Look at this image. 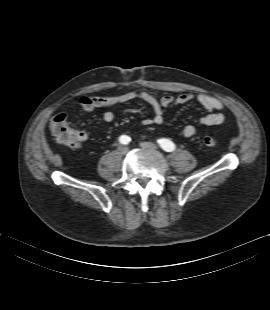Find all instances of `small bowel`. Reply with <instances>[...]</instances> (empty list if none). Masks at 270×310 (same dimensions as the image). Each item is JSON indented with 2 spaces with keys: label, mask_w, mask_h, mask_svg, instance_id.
I'll list each match as a JSON object with an SVG mask.
<instances>
[{
  "label": "small bowel",
  "mask_w": 270,
  "mask_h": 310,
  "mask_svg": "<svg viewBox=\"0 0 270 310\" xmlns=\"http://www.w3.org/2000/svg\"><path fill=\"white\" fill-rule=\"evenodd\" d=\"M135 99H140L146 102L153 110V116L143 119L142 123L146 126L156 125L160 126L164 123V111L176 105L186 104L193 100H197L207 114L199 118V123L206 126H216L224 123L225 116L221 112L225 109V104L218 98L208 94L194 95L192 93H182L178 96L164 95L158 97L155 93L148 90L129 91L123 94L112 96H80L78 103L86 112H92L100 108H109L116 104L130 102ZM114 113L112 111H105L102 119L106 123L114 120ZM79 134V145L88 139L86 131H77ZM181 133L185 137H192L196 133V128L193 125H185L181 129Z\"/></svg>",
  "instance_id": "small-bowel-1"
}]
</instances>
